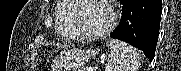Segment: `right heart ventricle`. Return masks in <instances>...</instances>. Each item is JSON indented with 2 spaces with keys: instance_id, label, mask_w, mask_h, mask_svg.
Segmentation results:
<instances>
[{
  "instance_id": "obj_1",
  "label": "right heart ventricle",
  "mask_w": 181,
  "mask_h": 71,
  "mask_svg": "<svg viewBox=\"0 0 181 71\" xmlns=\"http://www.w3.org/2000/svg\"><path fill=\"white\" fill-rule=\"evenodd\" d=\"M73 4L65 0L59 1L57 6V32L65 39H76L70 25V17L73 12Z\"/></svg>"
}]
</instances>
